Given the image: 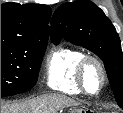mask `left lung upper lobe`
<instances>
[{"label": "left lung upper lobe", "mask_w": 123, "mask_h": 113, "mask_svg": "<svg viewBox=\"0 0 123 113\" xmlns=\"http://www.w3.org/2000/svg\"><path fill=\"white\" fill-rule=\"evenodd\" d=\"M67 41L94 52L105 69L118 105L123 108V53L119 36L103 11L90 1L62 4L51 20V40Z\"/></svg>", "instance_id": "obj_1"}]
</instances>
